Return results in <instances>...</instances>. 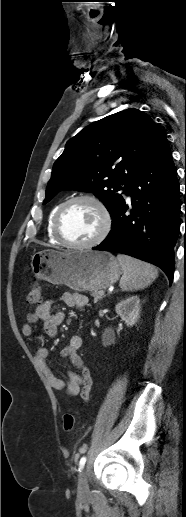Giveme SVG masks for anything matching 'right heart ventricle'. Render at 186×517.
<instances>
[{"mask_svg": "<svg viewBox=\"0 0 186 517\" xmlns=\"http://www.w3.org/2000/svg\"><path fill=\"white\" fill-rule=\"evenodd\" d=\"M61 203L57 204L55 207H53V209L50 211L49 215H48V219H47V226H46V230H47V236H48V239L49 241L52 243V244H55V245H60L61 242L56 238L55 234H54V230H53V220H54V216L58 210V208L60 207Z\"/></svg>", "mask_w": 186, "mask_h": 517, "instance_id": "right-heart-ventricle-1", "label": "right heart ventricle"}]
</instances>
